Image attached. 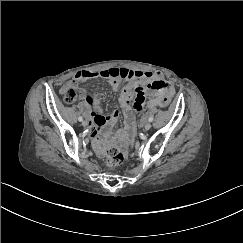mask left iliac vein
<instances>
[{
    "label": "left iliac vein",
    "mask_w": 243,
    "mask_h": 243,
    "mask_svg": "<svg viewBox=\"0 0 243 243\" xmlns=\"http://www.w3.org/2000/svg\"><path fill=\"white\" fill-rule=\"evenodd\" d=\"M152 127V125H151V123L150 122H147V123H145V125H144V130H149L150 128Z\"/></svg>",
    "instance_id": "obj_1"
}]
</instances>
